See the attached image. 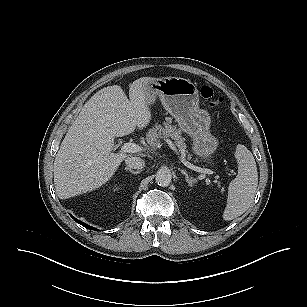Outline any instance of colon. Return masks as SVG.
<instances>
[{
  "instance_id": "colon-1",
  "label": "colon",
  "mask_w": 307,
  "mask_h": 307,
  "mask_svg": "<svg viewBox=\"0 0 307 307\" xmlns=\"http://www.w3.org/2000/svg\"><path fill=\"white\" fill-rule=\"evenodd\" d=\"M201 95L204 99L209 100L211 107H217L223 102V98L216 96L214 89L207 85L201 88Z\"/></svg>"
}]
</instances>
